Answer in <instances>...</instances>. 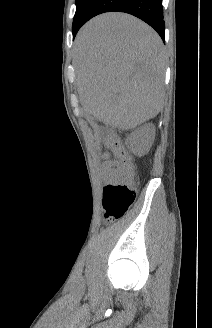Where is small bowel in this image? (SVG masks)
Returning a JSON list of instances; mask_svg holds the SVG:
<instances>
[{"label": "small bowel", "instance_id": "small-bowel-1", "mask_svg": "<svg viewBox=\"0 0 212 328\" xmlns=\"http://www.w3.org/2000/svg\"><path fill=\"white\" fill-rule=\"evenodd\" d=\"M103 170L108 173L109 175H114V174H119L120 169L118 167V163L116 161L110 160L109 159V154L105 152L103 154Z\"/></svg>", "mask_w": 212, "mask_h": 328}]
</instances>
